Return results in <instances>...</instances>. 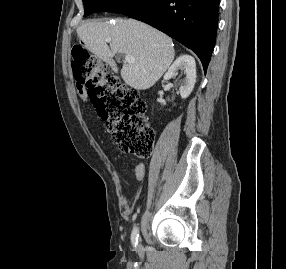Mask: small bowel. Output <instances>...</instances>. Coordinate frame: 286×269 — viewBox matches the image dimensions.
<instances>
[{"mask_svg": "<svg viewBox=\"0 0 286 269\" xmlns=\"http://www.w3.org/2000/svg\"><path fill=\"white\" fill-rule=\"evenodd\" d=\"M80 94L84 95L82 90H80ZM145 177V166L143 163H138L135 166V178L137 181H142Z\"/></svg>", "mask_w": 286, "mask_h": 269, "instance_id": "obj_1", "label": "small bowel"}]
</instances>
